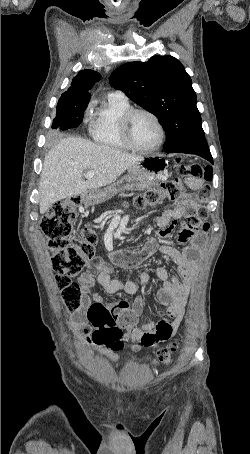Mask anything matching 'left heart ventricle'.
Masks as SVG:
<instances>
[{"mask_svg": "<svg viewBox=\"0 0 250 454\" xmlns=\"http://www.w3.org/2000/svg\"><path fill=\"white\" fill-rule=\"evenodd\" d=\"M131 134L134 143L141 148L153 146L159 137L154 121L145 114H138L131 124Z\"/></svg>", "mask_w": 250, "mask_h": 454, "instance_id": "left-heart-ventricle-1", "label": "left heart ventricle"}]
</instances>
